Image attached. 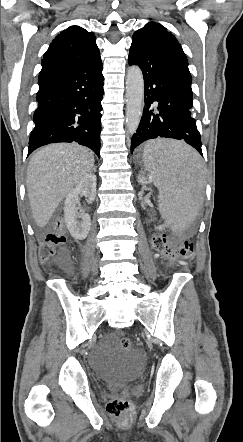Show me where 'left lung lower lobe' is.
<instances>
[{
  "instance_id": "left-lung-lower-lobe-1",
  "label": "left lung lower lobe",
  "mask_w": 243,
  "mask_h": 442,
  "mask_svg": "<svg viewBox=\"0 0 243 442\" xmlns=\"http://www.w3.org/2000/svg\"><path fill=\"white\" fill-rule=\"evenodd\" d=\"M129 65H138L144 78L145 105L131 152L154 138L184 140L201 155V136L192 116L191 74L186 57L132 40Z\"/></svg>"
}]
</instances>
